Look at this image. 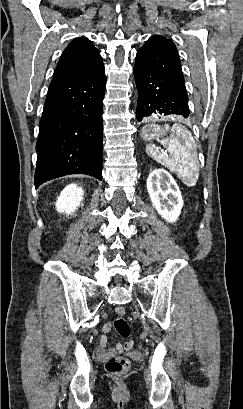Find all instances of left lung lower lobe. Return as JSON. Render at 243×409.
<instances>
[{
    "label": "left lung lower lobe",
    "instance_id": "obj_1",
    "mask_svg": "<svg viewBox=\"0 0 243 409\" xmlns=\"http://www.w3.org/2000/svg\"><path fill=\"white\" fill-rule=\"evenodd\" d=\"M134 75L139 94L136 109L138 121L154 115L189 116L184 81L138 64L134 65Z\"/></svg>",
    "mask_w": 243,
    "mask_h": 409
}]
</instances>
